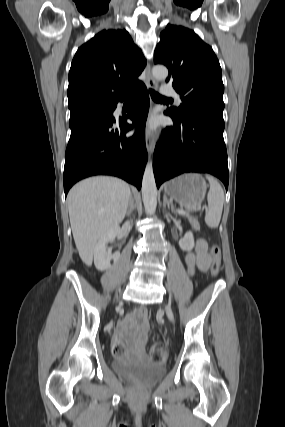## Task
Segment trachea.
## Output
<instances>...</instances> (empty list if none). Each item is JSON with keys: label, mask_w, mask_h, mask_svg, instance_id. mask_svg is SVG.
Masks as SVG:
<instances>
[{"label": "trachea", "mask_w": 285, "mask_h": 427, "mask_svg": "<svg viewBox=\"0 0 285 427\" xmlns=\"http://www.w3.org/2000/svg\"><path fill=\"white\" fill-rule=\"evenodd\" d=\"M151 97L153 100H166L168 98L161 96L160 94H158L157 92H155L154 90L150 89L149 90ZM134 97H129L128 100H133Z\"/></svg>", "instance_id": "1"}]
</instances>
